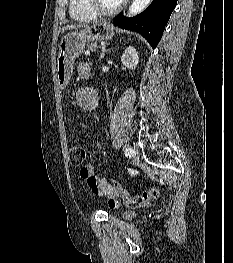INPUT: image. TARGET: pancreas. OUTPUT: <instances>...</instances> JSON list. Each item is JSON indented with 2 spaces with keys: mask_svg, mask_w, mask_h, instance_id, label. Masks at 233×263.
Returning <instances> with one entry per match:
<instances>
[{
  "mask_svg": "<svg viewBox=\"0 0 233 263\" xmlns=\"http://www.w3.org/2000/svg\"><path fill=\"white\" fill-rule=\"evenodd\" d=\"M87 47H88L90 50H94V49L97 48V44H96V43H89V44L87 45Z\"/></svg>",
  "mask_w": 233,
  "mask_h": 263,
  "instance_id": "pancreas-1",
  "label": "pancreas"
}]
</instances>
